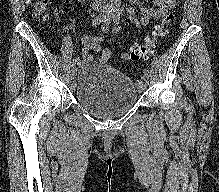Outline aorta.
<instances>
[{
	"label": "aorta",
	"instance_id": "aorta-1",
	"mask_svg": "<svg viewBox=\"0 0 219 192\" xmlns=\"http://www.w3.org/2000/svg\"><path fill=\"white\" fill-rule=\"evenodd\" d=\"M109 2L112 4V5H119L121 3V0H109Z\"/></svg>",
	"mask_w": 219,
	"mask_h": 192
}]
</instances>
